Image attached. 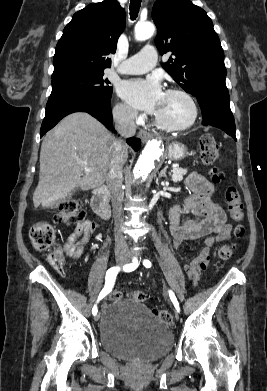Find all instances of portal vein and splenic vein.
Masks as SVG:
<instances>
[{"instance_id": "portal-vein-and-splenic-vein-1", "label": "portal vein and splenic vein", "mask_w": 267, "mask_h": 391, "mask_svg": "<svg viewBox=\"0 0 267 391\" xmlns=\"http://www.w3.org/2000/svg\"><path fill=\"white\" fill-rule=\"evenodd\" d=\"M83 164L85 165V168H84L85 171H91L92 170L91 168H88V164L87 163H83ZM173 167H175V166H173Z\"/></svg>"}]
</instances>
